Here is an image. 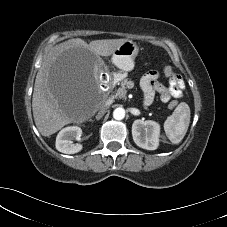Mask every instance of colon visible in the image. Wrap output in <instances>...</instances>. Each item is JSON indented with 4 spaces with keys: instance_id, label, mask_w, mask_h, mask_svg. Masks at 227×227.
I'll use <instances>...</instances> for the list:
<instances>
[{
    "instance_id": "1",
    "label": "colon",
    "mask_w": 227,
    "mask_h": 227,
    "mask_svg": "<svg viewBox=\"0 0 227 227\" xmlns=\"http://www.w3.org/2000/svg\"><path fill=\"white\" fill-rule=\"evenodd\" d=\"M163 71H164V74L166 76H172L173 75V69L170 66H165L163 68ZM176 105H177V102L176 101H172L169 104L170 108H174V107H176Z\"/></svg>"
}]
</instances>
